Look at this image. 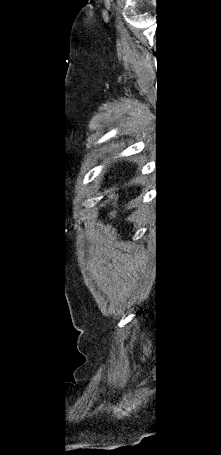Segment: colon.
Here are the masks:
<instances>
[{"mask_svg": "<svg viewBox=\"0 0 221 455\" xmlns=\"http://www.w3.org/2000/svg\"><path fill=\"white\" fill-rule=\"evenodd\" d=\"M108 200L110 202H114L115 196H113V195L109 196ZM110 214L112 217H115L118 214V211L116 209H113Z\"/></svg>", "mask_w": 221, "mask_h": 455, "instance_id": "1", "label": "colon"}]
</instances>
